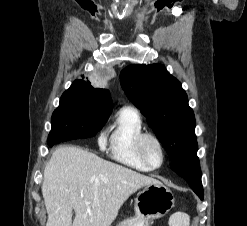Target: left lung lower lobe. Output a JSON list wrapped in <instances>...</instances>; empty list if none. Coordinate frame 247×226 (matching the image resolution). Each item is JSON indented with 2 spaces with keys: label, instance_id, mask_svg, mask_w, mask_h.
<instances>
[{
  "label": "left lung lower lobe",
  "instance_id": "1",
  "mask_svg": "<svg viewBox=\"0 0 247 226\" xmlns=\"http://www.w3.org/2000/svg\"><path fill=\"white\" fill-rule=\"evenodd\" d=\"M171 169L183 177L193 191L203 199V187L201 183V169L198 157L186 163H172Z\"/></svg>",
  "mask_w": 247,
  "mask_h": 226
}]
</instances>
